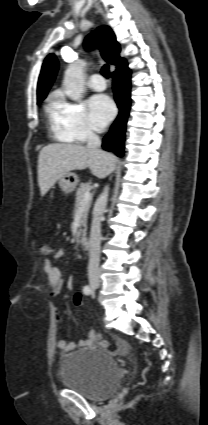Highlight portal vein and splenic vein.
<instances>
[{"label": "portal vein and splenic vein", "mask_w": 208, "mask_h": 425, "mask_svg": "<svg viewBox=\"0 0 208 425\" xmlns=\"http://www.w3.org/2000/svg\"><path fill=\"white\" fill-rule=\"evenodd\" d=\"M91 200V194L90 192H86L83 196V200L81 202V208L84 209L87 205V203Z\"/></svg>", "instance_id": "1"}]
</instances>
